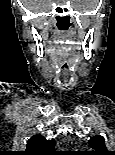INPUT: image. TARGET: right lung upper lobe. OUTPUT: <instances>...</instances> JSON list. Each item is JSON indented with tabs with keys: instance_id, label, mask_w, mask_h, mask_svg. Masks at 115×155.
<instances>
[{
	"instance_id": "1",
	"label": "right lung upper lobe",
	"mask_w": 115,
	"mask_h": 155,
	"mask_svg": "<svg viewBox=\"0 0 115 155\" xmlns=\"http://www.w3.org/2000/svg\"><path fill=\"white\" fill-rule=\"evenodd\" d=\"M54 140H46L41 135H33L27 141V148L23 155H58L57 151H54Z\"/></svg>"
}]
</instances>
